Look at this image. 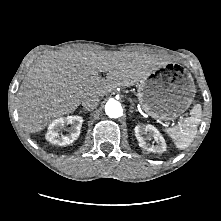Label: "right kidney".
<instances>
[{"label":"right kidney","instance_id":"right-kidney-1","mask_svg":"<svg viewBox=\"0 0 221 221\" xmlns=\"http://www.w3.org/2000/svg\"><path fill=\"white\" fill-rule=\"evenodd\" d=\"M83 121V118L77 115L57 118L50 123L46 133V139L54 145H68L79 137ZM65 124L71 125L68 135H62L60 133Z\"/></svg>","mask_w":221,"mask_h":221}]
</instances>
